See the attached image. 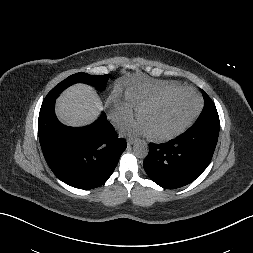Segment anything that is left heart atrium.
I'll use <instances>...</instances> for the list:
<instances>
[{
  "instance_id": "left-heart-atrium-1",
  "label": "left heart atrium",
  "mask_w": 253,
  "mask_h": 253,
  "mask_svg": "<svg viewBox=\"0 0 253 253\" xmlns=\"http://www.w3.org/2000/svg\"><path fill=\"white\" fill-rule=\"evenodd\" d=\"M124 130L132 134H140V133L149 134L147 127L141 120L135 123L124 125Z\"/></svg>"
}]
</instances>
